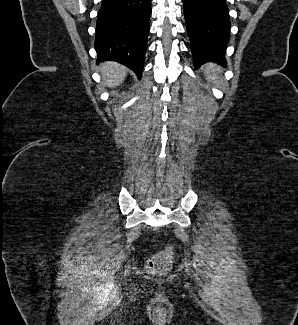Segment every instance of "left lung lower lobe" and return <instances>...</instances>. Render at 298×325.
<instances>
[{
	"label": "left lung lower lobe",
	"mask_w": 298,
	"mask_h": 325,
	"mask_svg": "<svg viewBox=\"0 0 298 325\" xmlns=\"http://www.w3.org/2000/svg\"><path fill=\"white\" fill-rule=\"evenodd\" d=\"M194 65L225 64L230 20L226 0H183Z\"/></svg>",
	"instance_id": "obj_1"
}]
</instances>
